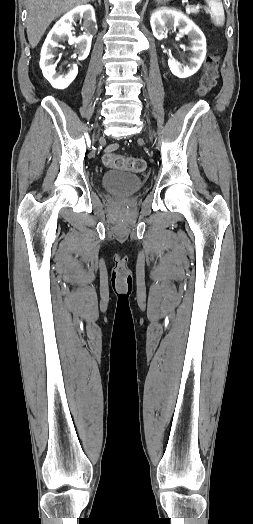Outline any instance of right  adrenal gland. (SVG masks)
Returning <instances> with one entry per match:
<instances>
[{
    "mask_svg": "<svg viewBox=\"0 0 253 524\" xmlns=\"http://www.w3.org/2000/svg\"><path fill=\"white\" fill-rule=\"evenodd\" d=\"M93 1H95V0H93ZM98 3H99V5H101V0H98Z\"/></svg>",
    "mask_w": 253,
    "mask_h": 524,
    "instance_id": "1",
    "label": "right adrenal gland"
}]
</instances>
